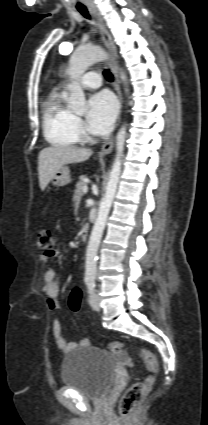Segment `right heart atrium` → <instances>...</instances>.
I'll return each instance as SVG.
<instances>
[{
	"mask_svg": "<svg viewBox=\"0 0 208 425\" xmlns=\"http://www.w3.org/2000/svg\"><path fill=\"white\" fill-rule=\"evenodd\" d=\"M74 127H75V130L78 133H81V131H82V123H81L80 119H78V118H75L74 119Z\"/></svg>",
	"mask_w": 208,
	"mask_h": 425,
	"instance_id": "d8ad5b80",
	"label": "right heart atrium"
}]
</instances>
